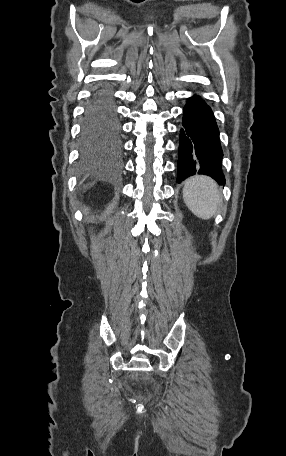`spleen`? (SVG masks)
I'll use <instances>...</instances> for the list:
<instances>
[{"label":"spleen","instance_id":"spleen-1","mask_svg":"<svg viewBox=\"0 0 286 456\" xmlns=\"http://www.w3.org/2000/svg\"><path fill=\"white\" fill-rule=\"evenodd\" d=\"M183 200L197 217L208 220L215 216L221 207L222 194L212 178L197 175L185 182Z\"/></svg>","mask_w":286,"mask_h":456}]
</instances>
